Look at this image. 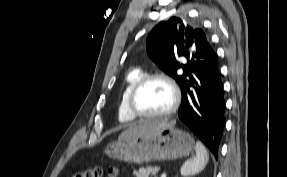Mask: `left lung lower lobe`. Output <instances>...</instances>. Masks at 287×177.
Segmentation results:
<instances>
[{"label": "left lung lower lobe", "mask_w": 287, "mask_h": 177, "mask_svg": "<svg viewBox=\"0 0 287 177\" xmlns=\"http://www.w3.org/2000/svg\"><path fill=\"white\" fill-rule=\"evenodd\" d=\"M214 50L181 87L180 120L218 159V148L225 125L223 84Z\"/></svg>", "instance_id": "0a47b994"}]
</instances>
